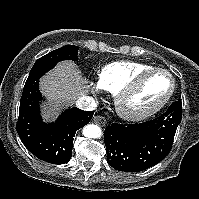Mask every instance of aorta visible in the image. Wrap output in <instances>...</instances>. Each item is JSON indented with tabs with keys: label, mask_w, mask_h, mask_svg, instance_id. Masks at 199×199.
Returning <instances> with one entry per match:
<instances>
[{
	"label": "aorta",
	"mask_w": 199,
	"mask_h": 199,
	"mask_svg": "<svg viewBox=\"0 0 199 199\" xmlns=\"http://www.w3.org/2000/svg\"><path fill=\"white\" fill-rule=\"evenodd\" d=\"M101 134V128L97 125L89 124L83 128V135L87 138H99Z\"/></svg>",
	"instance_id": "1"
}]
</instances>
